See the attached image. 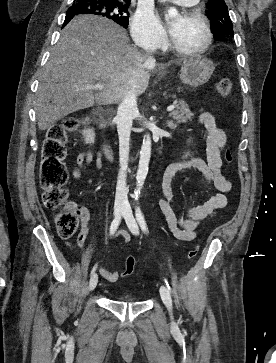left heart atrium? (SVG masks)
Masks as SVG:
<instances>
[{
	"mask_svg": "<svg viewBox=\"0 0 276 363\" xmlns=\"http://www.w3.org/2000/svg\"><path fill=\"white\" fill-rule=\"evenodd\" d=\"M176 29H177L176 24L175 23H172L171 26H170V32H171L172 35L175 34Z\"/></svg>",
	"mask_w": 276,
	"mask_h": 363,
	"instance_id": "left-heart-atrium-1",
	"label": "left heart atrium"
}]
</instances>
